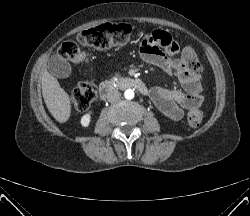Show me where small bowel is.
Wrapping results in <instances>:
<instances>
[{"instance_id": "small-bowel-1", "label": "small bowel", "mask_w": 250, "mask_h": 216, "mask_svg": "<svg viewBox=\"0 0 250 216\" xmlns=\"http://www.w3.org/2000/svg\"><path fill=\"white\" fill-rule=\"evenodd\" d=\"M165 48L168 55L161 52ZM177 45L173 36L165 31H153L144 36L140 52L143 59L178 78L182 89L156 86L150 97L157 108L169 119L180 120L184 110L199 107L202 103V81L198 75L185 70L176 57Z\"/></svg>"}]
</instances>
